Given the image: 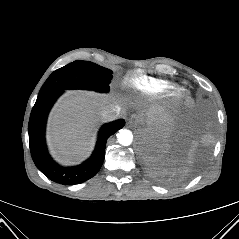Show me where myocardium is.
Returning a JSON list of instances; mask_svg holds the SVG:
<instances>
[{"instance_id":"myocardium-1","label":"myocardium","mask_w":239,"mask_h":239,"mask_svg":"<svg viewBox=\"0 0 239 239\" xmlns=\"http://www.w3.org/2000/svg\"><path fill=\"white\" fill-rule=\"evenodd\" d=\"M184 91H185L184 87L178 85V86H175L174 88H172L169 95H170L171 98H179V97L182 96Z\"/></svg>"}]
</instances>
